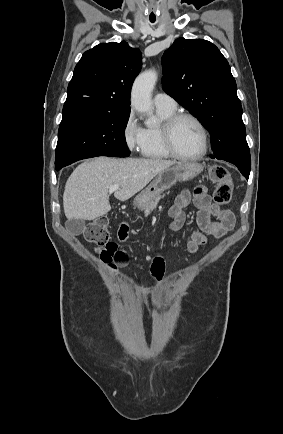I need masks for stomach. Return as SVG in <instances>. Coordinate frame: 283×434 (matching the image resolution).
Instances as JSON below:
<instances>
[{
  "mask_svg": "<svg viewBox=\"0 0 283 434\" xmlns=\"http://www.w3.org/2000/svg\"><path fill=\"white\" fill-rule=\"evenodd\" d=\"M203 170V166L194 162L177 163L174 166L160 172L151 184L139 193L134 204L138 208H143L151 203L156 197L168 190L177 181H188L196 177Z\"/></svg>",
  "mask_w": 283,
  "mask_h": 434,
  "instance_id": "stomach-1",
  "label": "stomach"
}]
</instances>
